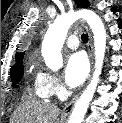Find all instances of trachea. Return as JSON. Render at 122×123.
<instances>
[{
  "label": "trachea",
  "mask_w": 122,
  "mask_h": 123,
  "mask_svg": "<svg viewBox=\"0 0 122 123\" xmlns=\"http://www.w3.org/2000/svg\"><path fill=\"white\" fill-rule=\"evenodd\" d=\"M81 38H82V41H83L84 43H87V42H88V35H87V34H82V35H81Z\"/></svg>",
  "instance_id": "1"
}]
</instances>
